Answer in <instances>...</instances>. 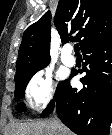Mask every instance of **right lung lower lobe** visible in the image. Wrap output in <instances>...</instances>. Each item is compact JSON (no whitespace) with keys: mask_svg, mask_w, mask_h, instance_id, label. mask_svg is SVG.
<instances>
[{"mask_svg":"<svg viewBox=\"0 0 112 135\" xmlns=\"http://www.w3.org/2000/svg\"><path fill=\"white\" fill-rule=\"evenodd\" d=\"M80 73L84 88H71L63 81L52 101L42 112L46 117L54 107L59 119L78 135H108L112 122V38L85 48ZM71 74L70 77H73Z\"/></svg>","mask_w":112,"mask_h":135,"instance_id":"obj_1","label":"right lung lower lobe"}]
</instances>
